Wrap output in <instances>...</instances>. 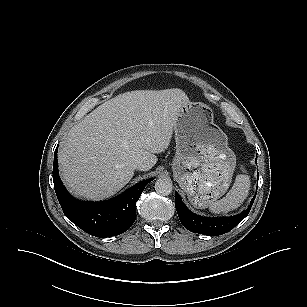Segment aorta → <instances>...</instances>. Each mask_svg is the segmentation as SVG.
Listing matches in <instances>:
<instances>
[{
  "label": "aorta",
  "mask_w": 307,
  "mask_h": 307,
  "mask_svg": "<svg viewBox=\"0 0 307 307\" xmlns=\"http://www.w3.org/2000/svg\"><path fill=\"white\" fill-rule=\"evenodd\" d=\"M155 191L162 196H167L172 192L173 186L169 179L159 178L155 182Z\"/></svg>",
  "instance_id": "obj_1"
}]
</instances>
